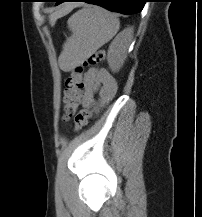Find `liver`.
<instances>
[{
  "instance_id": "liver-1",
  "label": "liver",
  "mask_w": 202,
  "mask_h": 217,
  "mask_svg": "<svg viewBox=\"0 0 202 217\" xmlns=\"http://www.w3.org/2000/svg\"><path fill=\"white\" fill-rule=\"evenodd\" d=\"M72 7H73L72 5H66V6H65L63 9H61L60 11L55 12L54 14H52V15L50 16V18H51V19H56V18L60 17L62 14H64V13L68 12L69 10H71Z\"/></svg>"
}]
</instances>
